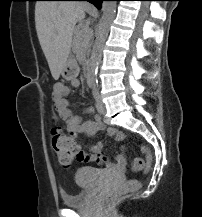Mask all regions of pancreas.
<instances>
[{
  "mask_svg": "<svg viewBox=\"0 0 202 217\" xmlns=\"http://www.w3.org/2000/svg\"><path fill=\"white\" fill-rule=\"evenodd\" d=\"M92 39V31L89 27L84 26L75 30L72 43V49L75 53L85 55L90 47Z\"/></svg>",
  "mask_w": 202,
  "mask_h": 217,
  "instance_id": "obj_1",
  "label": "pancreas"
}]
</instances>
